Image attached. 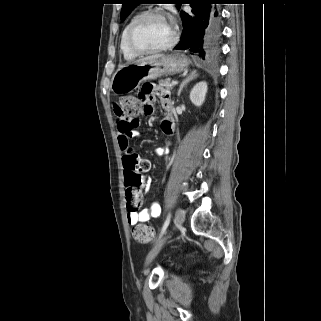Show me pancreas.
<instances>
[{"label":"pancreas","mask_w":321,"mask_h":321,"mask_svg":"<svg viewBox=\"0 0 321 321\" xmlns=\"http://www.w3.org/2000/svg\"><path fill=\"white\" fill-rule=\"evenodd\" d=\"M159 87H165L166 89H172L173 85L171 83V79L167 78V79H162L159 81Z\"/></svg>","instance_id":"obj_1"}]
</instances>
